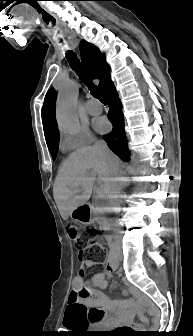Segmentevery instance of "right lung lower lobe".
<instances>
[{
    "mask_svg": "<svg viewBox=\"0 0 193 336\" xmlns=\"http://www.w3.org/2000/svg\"><path fill=\"white\" fill-rule=\"evenodd\" d=\"M102 92L109 102L108 118L113 124L112 132L105 135L104 140L116 155L122 160L129 162L131 153L125 139L124 117L121 109L122 103L112 80L108 82Z\"/></svg>",
    "mask_w": 193,
    "mask_h": 336,
    "instance_id": "right-lung-lower-lobe-1",
    "label": "right lung lower lobe"
}]
</instances>
